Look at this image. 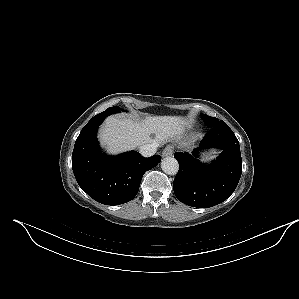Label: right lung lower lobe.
<instances>
[{"instance_id":"98d812e1","label":"right lung lower lobe","mask_w":299,"mask_h":299,"mask_svg":"<svg viewBox=\"0 0 299 299\" xmlns=\"http://www.w3.org/2000/svg\"><path fill=\"white\" fill-rule=\"evenodd\" d=\"M111 111L94 116L81 130L72 154V168L79 186L94 200L119 205L138 193L142 176L161 161L159 155L142 157L136 151L107 156L99 151L96 134Z\"/></svg>"}]
</instances>
